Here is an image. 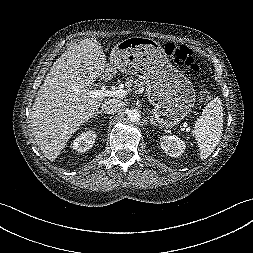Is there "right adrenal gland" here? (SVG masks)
<instances>
[{
    "label": "right adrenal gland",
    "mask_w": 253,
    "mask_h": 253,
    "mask_svg": "<svg viewBox=\"0 0 253 253\" xmlns=\"http://www.w3.org/2000/svg\"><path fill=\"white\" fill-rule=\"evenodd\" d=\"M99 114H104V112H103L102 110H99V111H97V112L95 113V115H94L93 117L96 118L97 115H99Z\"/></svg>",
    "instance_id": "right-adrenal-gland-1"
}]
</instances>
